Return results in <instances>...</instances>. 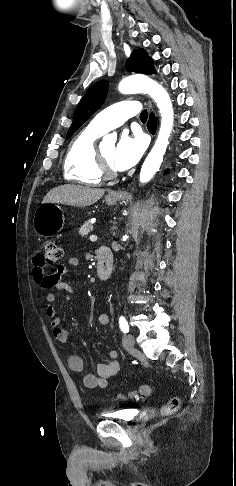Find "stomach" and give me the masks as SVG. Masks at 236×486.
<instances>
[{
  "label": "stomach",
  "instance_id": "stomach-1",
  "mask_svg": "<svg viewBox=\"0 0 236 486\" xmlns=\"http://www.w3.org/2000/svg\"><path fill=\"white\" fill-rule=\"evenodd\" d=\"M118 197L105 198L106 204L113 206L118 202ZM65 224V217L59 205L52 202L42 203L35 211L33 228L37 235L50 237L60 232Z\"/></svg>",
  "mask_w": 236,
  "mask_h": 486
}]
</instances>
